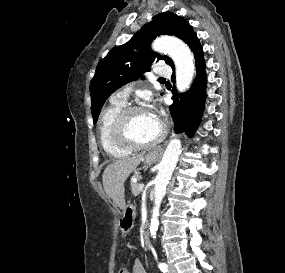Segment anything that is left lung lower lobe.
Listing matches in <instances>:
<instances>
[{"mask_svg": "<svg viewBox=\"0 0 285 273\" xmlns=\"http://www.w3.org/2000/svg\"><path fill=\"white\" fill-rule=\"evenodd\" d=\"M196 60L197 75L190 90L185 93L178 94L176 90L173 93V104L169 107L174 121V131L176 133L187 132L192 136L200 122L204 109V100L206 94V74L205 63L203 58V50L199 39L195 33L191 34L186 42ZM174 70V64L171 65ZM175 75H172V81Z\"/></svg>", "mask_w": 285, "mask_h": 273, "instance_id": "left-lung-lower-lobe-1", "label": "left lung lower lobe"}]
</instances>
